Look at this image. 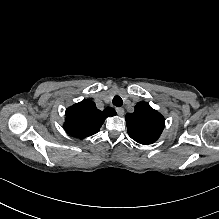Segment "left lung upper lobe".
Masks as SVG:
<instances>
[{
	"label": "left lung upper lobe",
	"instance_id": "left-lung-upper-lobe-1",
	"mask_svg": "<svg viewBox=\"0 0 219 219\" xmlns=\"http://www.w3.org/2000/svg\"><path fill=\"white\" fill-rule=\"evenodd\" d=\"M125 118L129 136L144 145L155 142L165 126L164 117L147 102L137 104L134 112Z\"/></svg>",
	"mask_w": 219,
	"mask_h": 219
}]
</instances>
